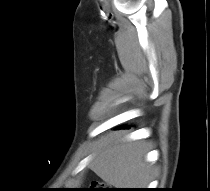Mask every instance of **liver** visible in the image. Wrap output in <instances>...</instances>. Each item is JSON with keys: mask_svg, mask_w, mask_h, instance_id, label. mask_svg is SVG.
<instances>
[{"mask_svg": "<svg viewBox=\"0 0 210 191\" xmlns=\"http://www.w3.org/2000/svg\"><path fill=\"white\" fill-rule=\"evenodd\" d=\"M146 153L144 143L125 140L121 134L110 135L102 138L94 149L89 167L116 188L146 186L150 180Z\"/></svg>", "mask_w": 210, "mask_h": 191, "instance_id": "6515ba94", "label": "liver"}]
</instances>
